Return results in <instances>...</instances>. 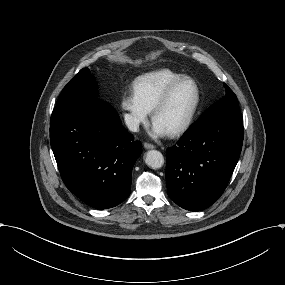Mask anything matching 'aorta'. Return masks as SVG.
<instances>
[{
    "instance_id": "762f6f07",
    "label": "aorta",
    "mask_w": 285,
    "mask_h": 285,
    "mask_svg": "<svg viewBox=\"0 0 285 285\" xmlns=\"http://www.w3.org/2000/svg\"><path fill=\"white\" fill-rule=\"evenodd\" d=\"M145 163L153 169H159L164 164V157L161 152L150 150L146 154Z\"/></svg>"
}]
</instances>
